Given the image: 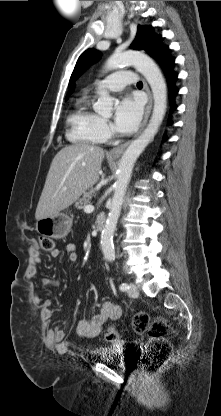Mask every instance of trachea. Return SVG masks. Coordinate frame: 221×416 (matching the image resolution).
I'll use <instances>...</instances> for the list:
<instances>
[{
	"mask_svg": "<svg viewBox=\"0 0 221 416\" xmlns=\"http://www.w3.org/2000/svg\"><path fill=\"white\" fill-rule=\"evenodd\" d=\"M142 86H143V84H142L141 81L137 83V87H142Z\"/></svg>",
	"mask_w": 221,
	"mask_h": 416,
	"instance_id": "1",
	"label": "trachea"
}]
</instances>
